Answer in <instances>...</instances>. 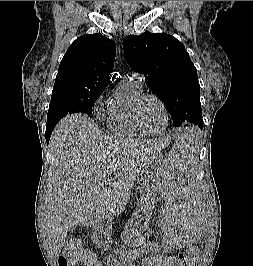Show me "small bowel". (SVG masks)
<instances>
[{
  "instance_id": "obj_1",
  "label": "small bowel",
  "mask_w": 253,
  "mask_h": 266,
  "mask_svg": "<svg viewBox=\"0 0 253 266\" xmlns=\"http://www.w3.org/2000/svg\"><path fill=\"white\" fill-rule=\"evenodd\" d=\"M150 250L159 251V248L158 247H152V248H150ZM136 257H137L136 253L129 252V251L122 252L118 257V264L120 266H138V264L136 262ZM149 261H150V258H144L142 260V266H149V265H147V263ZM103 264H106V263H102V262L98 261V266H103Z\"/></svg>"
}]
</instances>
